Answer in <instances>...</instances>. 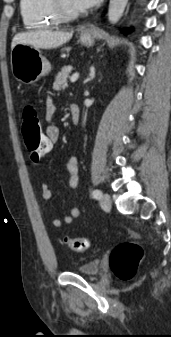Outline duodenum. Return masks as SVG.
<instances>
[{
  "instance_id": "obj_1",
  "label": "duodenum",
  "mask_w": 171,
  "mask_h": 337,
  "mask_svg": "<svg viewBox=\"0 0 171 337\" xmlns=\"http://www.w3.org/2000/svg\"><path fill=\"white\" fill-rule=\"evenodd\" d=\"M71 121L74 125H78L80 121V108L77 104L70 105Z\"/></svg>"
}]
</instances>
